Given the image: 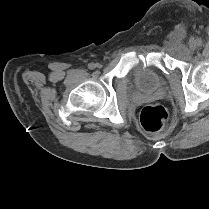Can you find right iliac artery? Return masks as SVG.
Listing matches in <instances>:
<instances>
[{
	"label": "right iliac artery",
	"mask_w": 209,
	"mask_h": 209,
	"mask_svg": "<svg viewBox=\"0 0 209 209\" xmlns=\"http://www.w3.org/2000/svg\"><path fill=\"white\" fill-rule=\"evenodd\" d=\"M96 66H95V64L94 63H90L89 65H88V68L89 69H94Z\"/></svg>",
	"instance_id": "1"
}]
</instances>
